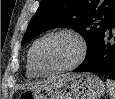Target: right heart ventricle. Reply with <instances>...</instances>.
<instances>
[{
    "label": "right heart ventricle",
    "mask_w": 115,
    "mask_h": 99,
    "mask_svg": "<svg viewBox=\"0 0 115 99\" xmlns=\"http://www.w3.org/2000/svg\"><path fill=\"white\" fill-rule=\"evenodd\" d=\"M26 74L28 77L30 78H34L36 77L38 74L33 70L31 64H30V60H29V55L27 58V63H26Z\"/></svg>",
    "instance_id": "e07e8e85"
}]
</instances>
